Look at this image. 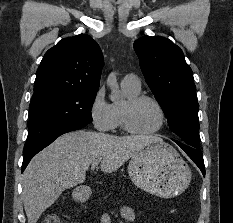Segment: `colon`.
<instances>
[{
    "label": "colon",
    "instance_id": "5ec220e1",
    "mask_svg": "<svg viewBox=\"0 0 233 223\" xmlns=\"http://www.w3.org/2000/svg\"><path fill=\"white\" fill-rule=\"evenodd\" d=\"M43 223H60V221L55 214H50L43 220Z\"/></svg>",
    "mask_w": 233,
    "mask_h": 223
}]
</instances>
